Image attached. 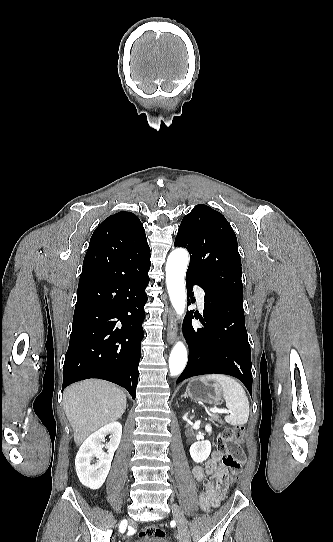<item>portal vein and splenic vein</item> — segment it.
<instances>
[{
    "mask_svg": "<svg viewBox=\"0 0 333 542\" xmlns=\"http://www.w3.org/2000/svg\"><path fill=\"white\" fill-rule=\"evenodd\" d=\"M209 412H212V414H221V412H228V410H219V408H209Z\"/></svg>",
    "mask_w": 333,
    "mask_h": 542,
    "instance_id": "18ae733b",
    "label": "portal vein and splenic vein"
}]
</instances>
